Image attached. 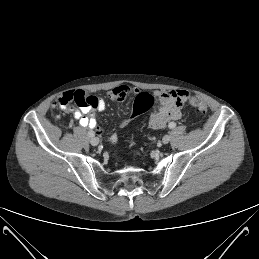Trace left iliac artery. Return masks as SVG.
<instances>
[{"instance_id":"left-iliac-artery-1","label":"left iliac artery","mask_w":259,"mask_h":259,"mask_svg":"<svg viewBox=\"0 0 259 259\" xmlns=\"http://www.w3.org/2000/svg\"><path fill=\"white\" fill-rule=\"evenodd\" d=\"M168 127H169L170 129H174V128L176 127V123L171 122V123H169Z\"/></svg>"}]
</instances>
